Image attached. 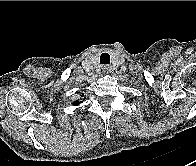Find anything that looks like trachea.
I'll list each match as a JSON object with an SVG mask.
<instances>
[{
  "label": "trachea",
  "instance_id": "1",
  "mask_svg": "<svg viewBox=\"0 0 196 166\" xmlns=\"http://www.w3.org/2000/svg\"><path fill=\"white\" fill-rule=\"evenodd\" d=\"M100 63L101 64H109L110 63V55L108 53H102L100 55Z\"/></svg>",
  "mask_w": 196,
  "mask_h": 166
}]
</instances>
